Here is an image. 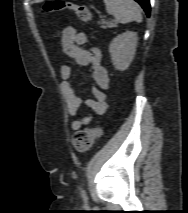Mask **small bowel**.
<instances>
[{"mask_svg": "<svg viewBox=\"0 0 188 213\" xmlns=\"http://www.w3.org/2000/svg\"><path fill=\"white\" fill-rule=\"evenodd\" d=\"M88 43V35L84 31H78L73 27H66L62 32V48L64 53L80 65L87 66L92 73L95 85L92 88L93 99L84 102L82 97L76 94L70 79L73 74V68L69 64L61 67L60 75L63 80L62 91L67 103V111L69 116H74L78 109L85 103L92 111L88 115L73 120L71 122L72 130H79L83 126L91 123L93 114L102 116L106 113L107 95L110 77L106 68L102 65V53L96 48L85 49Z\"/></svg>", "mask_w": 188, "mask_h": 213, "instance_id": "obj_1", "label": "small bowel"}]
</instances>
